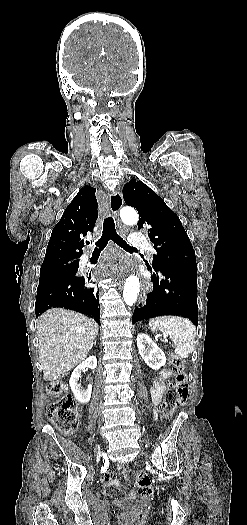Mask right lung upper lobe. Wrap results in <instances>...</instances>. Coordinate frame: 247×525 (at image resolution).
Wrapping results in <instances>:
<instances>
[{"label": "right lung upper lobe", "mask_w": 247, "mask_h": 525, "mask_svg": "<svg viewBox=\"0 0 247 525\" xmlns=\"http://www.w3.org/2000/svg\"><path fill=\"white\" fill-rule=\"evenodd\" d=\"M95 191L91 186H84L65 209L52 231L40 270L57 260L81 256L84 246L81 238L93 232L98 217Z\"/></svg>", "instance_id": "right-lung-upper-lobe-1"}]
</instances>
